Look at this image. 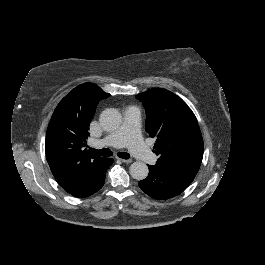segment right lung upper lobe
Listing matches in <instances>:
<instances>
[{"label": "right lung upper lobe", "mask_w": 265, "mask_h": 265, "mask_svg": "<svg viewBox=\"0 0 265 265\" xmlns=\"http://www.w3.org/2000/svg\"><path fill=\"white\" fill-rule=\"evenodd\" d=\"M108 96L93 83L81 84L60 101L49 122L46 159L58 184L73 196L93 190L108 169V158L83 150L96 106Z\"/></svg>", "instance_id": "cb5924a9"}]
</instances>
